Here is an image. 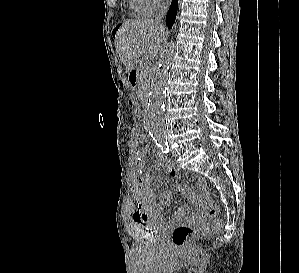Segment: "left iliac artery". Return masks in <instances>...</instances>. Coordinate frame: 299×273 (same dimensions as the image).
I'll use <instances>...</instances> for the list:
<instances>
[{
  "instance_id": "obj_1",
  "label": "left iliac artery",
  "mask_w": 299,
  "mask_h": 273,
  "mask_svg": "<svg viewBox=\"0 0 299 273\" xmlns=\"http://www.w3.org/2000/svg\"><path fill=\"white\" fill-rule=\"evenodd\" d=\"M160 147L163 153L168 154L170 152L167 142H164Z\"/></svg>"
}]
</instances>
